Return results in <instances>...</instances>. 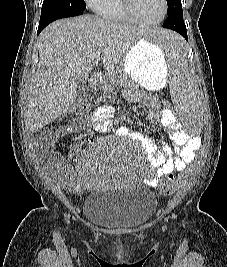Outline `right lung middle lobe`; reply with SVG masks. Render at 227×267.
Returning <instances> with one entry per match:
<instances>
[{
  "instance_id": "1",
  "label": "right lung middle lobe",
  "mask_w": 227,
  "mask_h": 267,
  "mask_svg": "<svg viewBox=\"0 0 227 267\" xmlns=\"http://www.w3.org/2000/svg\"><path fill=\"white\" fill-rule=\"evenodd\" d=\"M84 0H44L41 14L87 11Z\"/></svg>"
}]
</instances>
